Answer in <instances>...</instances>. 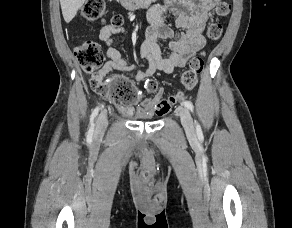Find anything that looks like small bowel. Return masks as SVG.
Returning <instances> with one entry per match:
<instances>
[{"instance_id":"small-bowel-1","label":"small bowel","mask_w":292,"mask_h":228,"mask_svg":"<svg viewBox=\"0 0 292 228\" xmlns=\"http://www.w3.org/2000/svg\"><path fill=\"white\" fill-rule=\"evenodd\" d=\"M216 3L217 0H167L154 6L148 13L150 26L140 47V57L148 63L143 70L129 65L113 45L116 38L124 33L122 26L106 25L100 30L99 39L106 46L108 58L100 73L104 76L114 70L131 72L135 80L145 82L146 89L153 92L152 97L142 98L137 108L117 104L123 114L151 117L156 113L164 90L157 85L155 88L150 86L154 82V74H172L176 69L185 67L191 56L203 51L206 44L203 30ZM167 18L172 20L177 32L166 22Z\"/></svg>"}]
</instances>
